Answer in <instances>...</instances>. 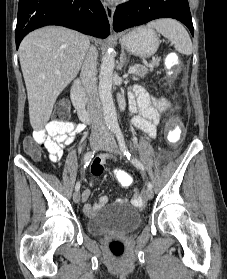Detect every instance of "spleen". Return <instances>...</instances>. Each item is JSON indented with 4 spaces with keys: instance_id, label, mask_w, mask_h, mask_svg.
I'll return each instance as SVG.
<instances>
[{
    "instance_id": "obj_1",
    "label": "spleen",
    "mask_w": 227,
    "mask_h": 279,
    "mask_svg": "<svg viewBox=\"0 0 227 279\" xmlns=\"http://www.w3.org/2000/svg\"><path fill=\"white\" fill-rule=\"evenodd\" d=\"M154 28L158 33L169 39L175 49L185 55L192 54V42L186 29L173 19H159L152 21L147 25Z\"/></svg>"
}]
</instances>
